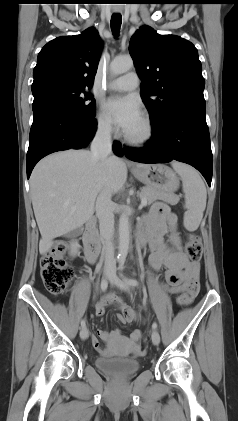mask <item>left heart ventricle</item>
<instances>
[{
    "mask_svg": "<svg viewBox=\"0 0 238 421\" xmlns=\"http://www.w3.org/2000/svg\"><path fill=\"white\" fill-rule=\"evenodd\" d=\"M126 133L132 137H140L144 133V124L140 119L135 125L126 131Z\"/></svg>",
    "mask_w": 238,
    "mask_h": 421,
    "instance_id": "left-heart-ventricle-1",
    "label": "left heart ventricle"
}]
</instances>
